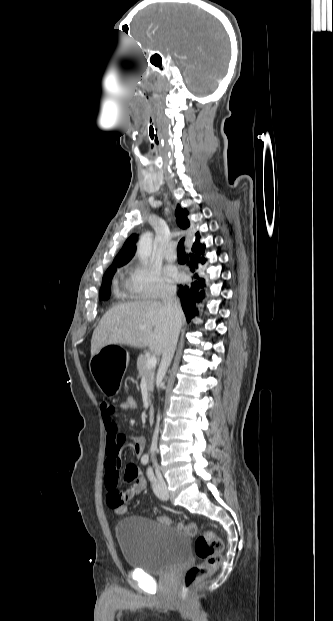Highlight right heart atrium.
I'll return each instance as SVG.
<instances>
[{
    "label": "right heart atrium",
    "instance_id": "d8ad5b80",
    "mask_svg": "<svg viewBox=\"0 0 333 621\" xmlns=\"http://www.w3.org/2000/svg\"><path fill=\"white\" fill-rule=\"evenodd\" d=\"M128 286L134 297L156 300L171 296L175 286L167 280L161 270L147 263H138L131 271Z\"/></svg>",
    "mask_w": 333,
    "mask_h": 621
}]
</instances>
